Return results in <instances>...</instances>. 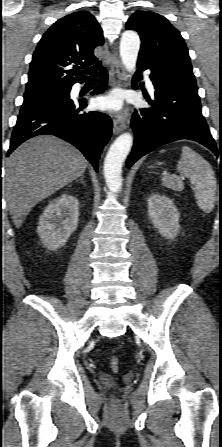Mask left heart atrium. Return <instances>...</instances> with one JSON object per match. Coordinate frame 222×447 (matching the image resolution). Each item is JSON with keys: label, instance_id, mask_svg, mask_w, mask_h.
<instances>
[{"label": "left heart atrium", "instance_id": "obj_1", "mask_svg": "<svg viewBox=\"0 0 222 447\" xmlns=\"http://www.w3.org/2000/svg\"><path fill=\"white\" fill-rule=\"evenodd\" d=\"M97 106L105 111H119L123 106V101L120 93L112 92L108 95L99 97L97 99Z\"/></svg>", "mask_w": 222, "mask_h": 447}]
</instances>
